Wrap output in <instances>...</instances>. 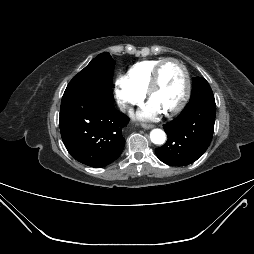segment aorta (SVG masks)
Wrapping results in <instances>:
<instances>
[{
    "instance_id": "aorta-1",
    "label": "aorta",
    "mask_w": 254,
    "mask_h": 254,
    "mask_svg": "<svg viewBox=\"0 0 254 254\" xmlns=\"http://www.w3.org/2000/svg\"><path fill=\"white\" fill-rule=\"evenodd\" d=\"M150 139L154 144L161 145L166 140V134L161 129H154L150 133Z\"/></svg>"
}]
</instances>
